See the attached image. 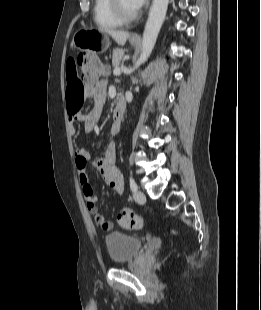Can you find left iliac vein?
I'll use <instances>...</instances> for the list:
<instances>
[{"label": "left iliac vein", "mask_w": 261, "mask_h": 310, "mask_svg": "<svg viewBox=\"0 0 261 310\" xmlns=\"http://www.w3.org/2000/svg\"><path fill=\"white\" fill-rule=\"evenodd\" d=\"M133 197H134V200L139 204H143L146 201L145 194L140 190L135 191Z\"/></svg>", "instance_id": "4c4485c4"}]
</instances>
